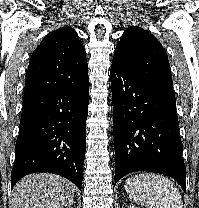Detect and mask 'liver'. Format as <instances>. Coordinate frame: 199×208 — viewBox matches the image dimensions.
Wrapping results in <instances>:
<instances>
[{"label": "liver", "mask_w": 199, "mask_h": 208, "mask_svg": "<svg viewBox=\"0 0 199 208\" xmlns=\"http://www.w3.org/2000/svg\"><path fill=\"white\" fill-rule=\"evenodd\" d=\"M74 193V184L61 176L30 174L15 185L12 208H64L73 201Z\"/></svg>", "instance_id": "liver-1"}]
</instances>
